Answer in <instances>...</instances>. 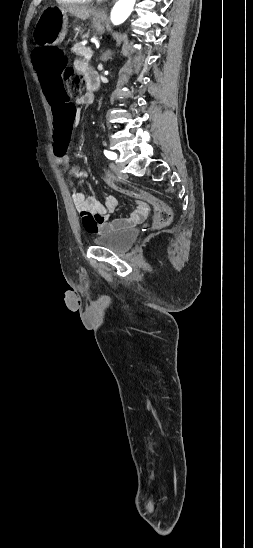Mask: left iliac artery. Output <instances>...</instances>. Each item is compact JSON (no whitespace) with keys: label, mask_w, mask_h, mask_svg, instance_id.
Listing matches in <instances>:
<instances>
[{"label":"left iliac artery","mask_w":253,"mask_h":548,"mask_svg":"<svg viewBox=\"0 0 253 548\" xmlns=\"http://www.w3.org/2000/svg\"><path fill=\"white\" fill-rule=\"evenodd\" d=\"M104 154L108 159L114 160L117 158V155L114 152L104 150Z\"/></svg>","instance_id":"obj_1"}]
</instances>
